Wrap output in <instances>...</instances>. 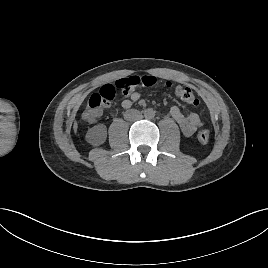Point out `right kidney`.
<instances>
[{"label":"right kidney","instance_id":"1","mask_svg":"<svg viewBox=\"0 0 268 268\" xmlns=\"http://www.w3.org/2000/svg\"><path fill=\"white\" fill-rule=\"evenodd\" d=\"M107 137L106 126L98 124L88 130L86 134V140L92 145H101L105 142Z\"/></svg>","mask_w":268,"mask_h":268}]
</instances>
